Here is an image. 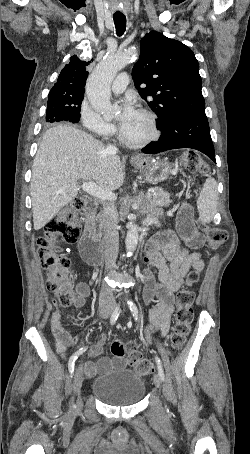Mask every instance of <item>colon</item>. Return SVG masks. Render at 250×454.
Returning a JSON list of instances; mask_svg holds the SVG:
<instances>
[{
  "mask_svg": "<svg viewBox=\"0 0 250 454\" xmlns=\"http://www.w3.org/2000/svg\"><path fill=\"white\" fill-rule=\"evenodd\" d=\"M184 168L191 172L206 174L207 164L194 151H186L182 155ZM83 208V201L76 198L69 208L61 211L52 218L46 226V233L37 241L38 255L45 270L47 289L55 295L56 301L62 306H70L73 303L72 291L73 271L70 258L62 252L59 243L75 242L80 235L78 224V211ZM208 247L212 250L222 246L226 239V232L219 227L206 229ZM198 279V272L192 271L187 278V286L178 290L176 294V311L174 315L173 331L170 336L171 346L174 350H180L190 332L194 317L192 305L194 294L190 286ZM111 352L114 356L127 355V361L140 375H146L154 370L153 363L143 357L131 344H125L120 340L111 343Z\"/></svg>",
  "mask_w": 250,
  "mask_h": 454,
  "instance_id": "obj_1",
  "label": "colon"
}]
</instances>
